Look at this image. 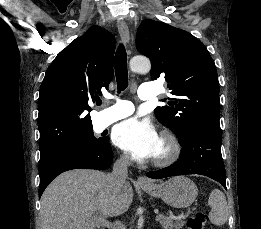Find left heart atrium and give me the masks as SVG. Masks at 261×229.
I'll list each match as a JSON object with an SVG mask.
<instances>
[{"instance_id":"left-heart-atrium-1","label":"left heart atrium","mask_w":261,"mask_h":229,"mask_svg":"<svg viewBox=\"0 0 261 229\" xmlns=\"http://www.w3.org/2000/svg\"><path fill=\"white\" fill-rule=\"evenodd\" d=\"M113 140L138 159L153 157L160 143L155 126L148 120L137 118L120 123L114 131Z\"/></svg>"}]
</instances>
